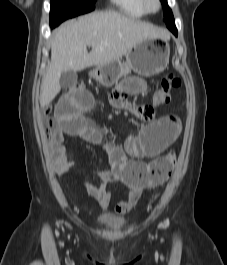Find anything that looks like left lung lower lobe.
Masks as SVG:
<instances>
[{"label":"left lung lower lobe","instance_id":"left-lung-lower-lobe-1","mask_svg":"<svg viewBox=\"0 0 227 265\" xmlns=\"http://www.w3.org/2000/svg\"><path fill=\"white\" fill-rule=\"evenodd\" d=\"M170 30L177 36V29L176 28H172Z\"/></svg>","mask_w":227,"mask_h":265}]
</instances>
